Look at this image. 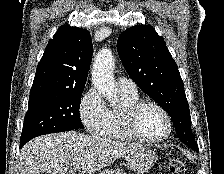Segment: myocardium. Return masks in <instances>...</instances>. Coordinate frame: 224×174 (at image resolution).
<instances>
[{
	"label": "myocardium",
	"instance_id": "myocardium-1",
	"mask_svg": "<svg viewBox=\"0 0 224 174\" xmlns=\"http://www.w3.org/2000/svg\"><path fill=\"white\" fill-rule=\"evenodd\" d=\"M146 106L155 107L164 116L167 122V130L161 137L149 138L144 136L138 127V116ZM123 122L127 131L136 139L145 143H160L165 141L172 133L173 123L169 113L157 102L152 100H138L126 107L123 111Z\"/></svg>",
	"mask_w": 224,
	"mask_h": 174
}]
</instances>
